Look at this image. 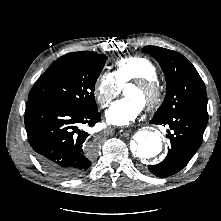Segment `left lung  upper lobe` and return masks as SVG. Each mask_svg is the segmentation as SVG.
Masks as SVG:
<instances>
[{
	"mask_svg": "<svg viewBox=\"0 0 221 221\" xmlns=\"http://www.w3.org/2000/svg\"><path fill=\"white\" fill-rule=\"evenodd\" d=\"M160 64L166 78L167 91L154 118L195 111L207 116V94L203 80L194 66L181 54L157 46L142 49Z\"/></svg>",
	"mask_w": 221,
	"mask_h": 221,
	"instance_id": "5c2ea615",
	"label": "left lung upper lobe"
}]
</instances>
